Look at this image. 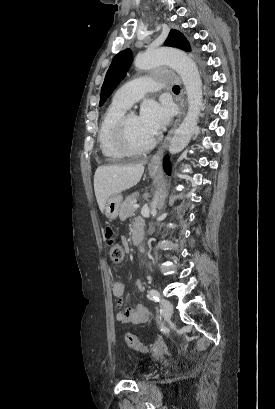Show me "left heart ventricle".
<instances>
[{
	"instance_id": "1",
	"label": "left heart ventricle",
	"mask_w": 275,
	"mask_h": 409,
	"mask_svg": "<svg viewBox=\"0 0 275 409\" xmlns=\"http://www.w3.org/2000/svg\"><path fill=\"white\" fill-rule=\"evenodd\" d=\"M128 128L131 142L137 147L147 145L154 138L144 129L139 117L136 115H130Z\"/></svg>"
}]
</instances>
